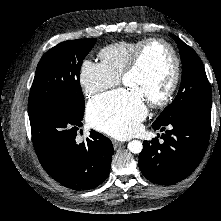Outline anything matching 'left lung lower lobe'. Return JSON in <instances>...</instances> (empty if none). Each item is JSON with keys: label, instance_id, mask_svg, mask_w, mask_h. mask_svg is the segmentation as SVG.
I'll return each mask as SVG.
<instances>
[{"label": "left lung lower lobe", "instance_id": "obj_1", "mask_svg": "<svg viewBox=\"0 0 221 221\" xmlns=\"http://www.w3.org/2000/svg\"><path fill=\"white\" fill-rule=\"evenodd\" d=\"M211 111L191 110L152 127L164 131L158 138L143 142L139 154L142 174L151 182L177 183L189 176L201 162L209 142ZM159 136V135H158Z\"/></svg>", "mask_w": 221, "mask_h": 221}]
</instances>
